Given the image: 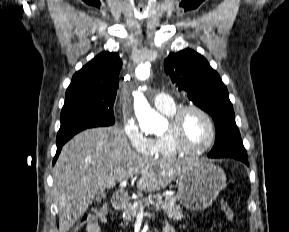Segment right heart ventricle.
Segmentation results:
<instances>
[{"mask_svg":"<svg viewBox=\"0 0 289 232\" xmlns=\"http://www.w3.org/2000/svg\"><path fill=\"white\" fill-rule=\"evenodd\" d=\"M177 107L173 103L170 107L160 110L163 114L169 118L175 113ZM186 154L182 150L178 149L167 132L161 135H158L153 139V150L151 156L155 158H171Z\"/></svg>","mask_w":289,"mask_h":232,"instance_id":"e07e8e85","label":"right heart ventricle"}]
</instances>
